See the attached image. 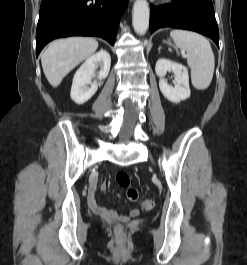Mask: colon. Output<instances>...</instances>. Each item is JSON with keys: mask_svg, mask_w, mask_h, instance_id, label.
<instances>
[{"mask_svg": "<svg viewBox=\"0 0 247 265\" xmlns=\"http://www.w3.org/2000/svg\"><path fill=\"white\" fill-rule=\"evenodd\" d=\"M115 180L119 187L126 189V195L129 200L136 201L139 199L138 190L130 186V176L127 172H117ZM154 205L155 203L151 199H145L142 201V207L145 210H152L154 208Z\"/></svg>", "mask_w": 247, "mask_h": 265, "instance_id": "5ec220e1", "label": "colon"}]
</instances>
